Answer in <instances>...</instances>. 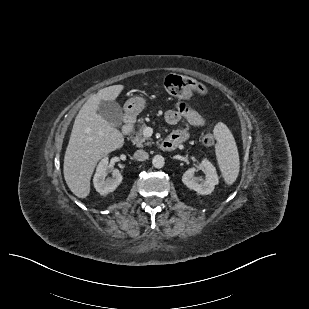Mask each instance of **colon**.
I'll return each mask as SVG.
<instances>
[{
    "label": "colon",
    "instance_id": "1",
    "mask_svg": "<svg viewBox=\"0 0 309 309\" xmlns=\"http://www.w3.org/2000/svg\"><path fill=\"white\" fill-rule=\"evenodd\" d=\"M166 90L174 97L180 100H189L194 97L195 94H203L204 88L193 82L191 79L172 74L165 80ZM202 142L206 146H210L214 143V137L211 134H207L203 137Z\"/></svg>",
    "mask_w": 309,
    "mask_h": 309
}]
</instances>
